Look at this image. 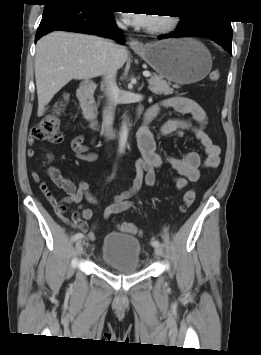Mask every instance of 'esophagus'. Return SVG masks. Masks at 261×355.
I'll list each match as a JSON object with an SVG mask.
<instances>
[{"label":"esophagus","mask_w":261,"mask_h":355,"mask_svg":"<svg viewBox=\"0 0 261 355\" xmlns=\"http://www.w3.org/2000/svg\"><path fill=\"white\" fill-rule=\"evenodd\" d=\"M128 44L133 50H142L144 47V44L142 42L135 39H129Z\"/></svg>","instance_id":"obj_1"}]
</instances>
